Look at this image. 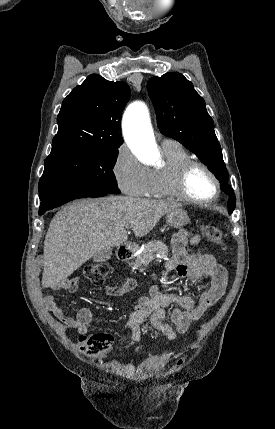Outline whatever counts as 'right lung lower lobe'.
Wrapping results in <instances>:
<instances>
[{"instance_id":"1","label":"right lung lower lobe","mask_w":275,"mask_h":429,"mask_svg":"<svg viewBox=\"0 0 275 429\" xmlns=\"http://www.w3.org/2000/svg\"><path fill=\"white\" fill-rule=\"evenodd\" d=\"M107 194L109 193L88 190H71L62 192L41 200L39 215H43L47 210H51L73 199L85 197H102L106 196Z\"/></svg>"}]
</instances>
